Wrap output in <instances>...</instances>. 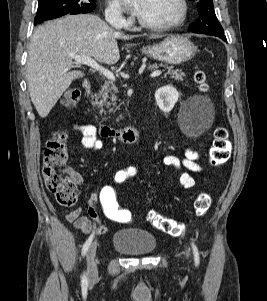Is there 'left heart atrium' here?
I'll use <instances>...</instances> for the list:
<instances>
[{"instance_id":"1","label":"left heart atrium","mask_w":267,"mask_h":301,"mask_svg":"<svg viewBox=\"0 0 267 301\" xmlns=\"http://www.w3.org/2000/svg\"><path fill=\"white\" fill-rule=\"evenodd\" d=\"M144 1L145 0H122V3L134 14L139 15L143 9Z\"/></svg>"}]
</instances>
